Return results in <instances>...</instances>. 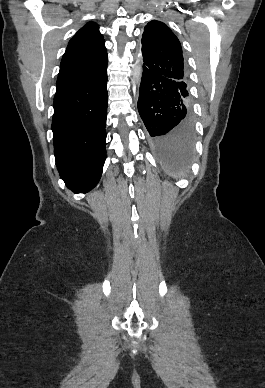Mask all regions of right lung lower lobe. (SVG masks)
<instances>
[{"instance_id":"1","label":"right lung lower lobe","mask_w":265,"mask_h":388,"mask_svg":"<svg viewBox=\"0 0 265 388\" xmlns=\"http://www.w3.org/2000/svg\"><path fill=\"white\" fill-rule=\"evenodd\" d=\"M107 72L98 79L56 90L52 120L60 177L74 193L98 183L106 159Z\"/></svg>"}]
</instances>
